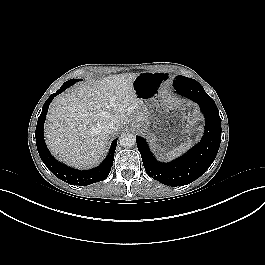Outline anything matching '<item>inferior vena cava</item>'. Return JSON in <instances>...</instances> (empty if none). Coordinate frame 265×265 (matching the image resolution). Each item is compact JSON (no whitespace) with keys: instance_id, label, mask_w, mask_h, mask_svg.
<instances>
[{"instance_id":"obj_1","label":"inferior vena cava","mask_w":265,"mask_h":265,"mask_svg":"<svg viewBox=\"0 0 265 265\" xmlns=\"http://www.w3.org/2000/svg\"><path fill=\"white\" fill-rule=\"evenodd\" d=\"M101 128L102 131L105 134H110L113 133L116 129H117V124L113 119L110 120H105L102 124H101Z\"/></svg>"}]
</instances>
